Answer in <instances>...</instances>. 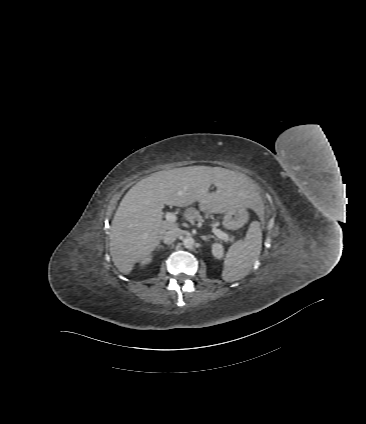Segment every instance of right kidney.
Instances as JSON below:
<instances>
[{
	"label": "right kidney",
	"instance_id": "obj_1",
	"mask_svg": "<svg viewBox=\"0 0 366 424\" xmlns=\"http://www.w3.org/2000/svg\"><path fill=\"white\" fill-rule=\"evenodd\" d=\"M153 256H148L141 261V266H146L151 263Z\"/></svg>",
	"mask_w": 366,
	"mask_h": 424
}]
</instances>
